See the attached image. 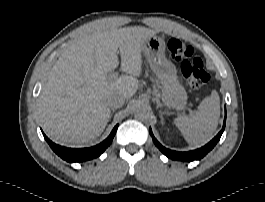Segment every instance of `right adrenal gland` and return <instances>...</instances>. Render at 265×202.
I'll use <instances>...</instances> for the list:
<instances>
[{
    "label": "right adrenal gland",
    "mask_w": 265,
    "mask_h": 202,
    "mask_svg": "<svg viewBox=\"0 0 265 202\" xmlns=\"http://www.w3.org/2000/svg\"><path fill=\"white\" fill-rule=\"evenodd\" d=\"M114 111H115V110L113 109L112 112H110L108 121L111 119V117H112Z\"/></svg>",
    "instance_id": "1"
}]
</instances>
